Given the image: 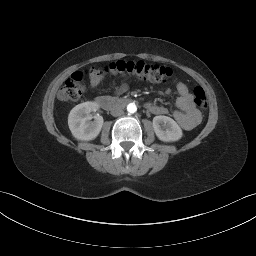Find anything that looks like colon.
I'll list each match as a JSON object with an SVG mask.
<instances>
[{"instance_id":"colon-1","label":"colon","mask_w":256,"mask_h":256,"mask_svg":"<svg viewBox=\"0 0 256 256\" xmlns=\"http://www.w3.org/2000/svg\"><path fill=\"white\" fill-rule=\"evenodd\" d=\"M106 73L110 74H127L140 79L165 82L168 81L173 72L170 68L146 63L144 61H115L104 68H91L85 73L75 72L65 82L61 90V98L66 101L79 100L85 90L84 78L88 76L92 85H98ZM193 102L199 109L207 107V98L202 87L197 86L193 89Z\"/></svg>"}]
</instances>
